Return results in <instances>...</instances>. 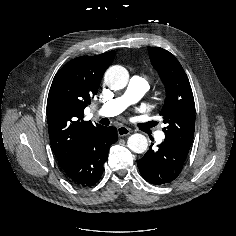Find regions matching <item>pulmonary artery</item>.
I'll return each mask as SVG.
<instances>
[{
  "instance_id": "1",
  "label": "pulmonary artery",
  "mask_w": 236,
  "mask_h": 236,
  "mask_svg": "<svg viewBox=\"0 0 236 236\" xmlns=\"http://www.w3.org/2000/svg\"><path fill=\"white\" fill-rule=\"evenodd\" d=\"M148 90L149 84L144 78L137 75L133 76L129 80L124 94L102 105L98 110V114L105 117L116 116L129 105L137 102ZM156 138L161 141L164 138L163 133L159 132Z\"/></svg>"
}]
</instances>
